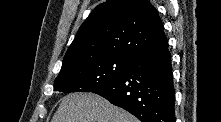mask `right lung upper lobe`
Instances as JSON below:
<instances>
[{
  "instance_id": "cb5924a9",
  "label": "right lung upper lobe",
  "mask_w": 221,
  "mask_h": 122,
  "mask_svg": "<svg viewBox=\"0 0 221 122\" xmlns=\"http://www.w3.org/2000/svg\"><path fill=\"white\" fill-rule=\"evenodd\" d=\"M164 36L157 10L147 0H107L80 26L61 71L93 58H134Z\"/></svg>"
}]
</instances>
